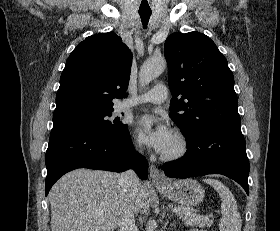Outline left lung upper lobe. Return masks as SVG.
<instances>
[{
  "instance_id": "1",
  "label": "left lung upper lobe",
  "mask_w": 280,
  "mask_h": 231,
  "mask_svg": "<svg viewBox=\"0 0 280 231\" xmlns=\"http://www.w3.org/2000/svg\"><path fill=\"white\" fill-rule=\"evenodd\" d=\"M164 55L173 96L169 116L185 138L211 126L241 125L232 71L209 37L171 34Z\"/></svg>"
}]
</instances>
